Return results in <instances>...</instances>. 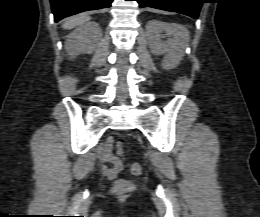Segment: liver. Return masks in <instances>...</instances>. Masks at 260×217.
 Returning a JSON list of instances; mask_svg holds the SVG:
<instances>
[{
	"label": "liver",
	"instance_id": "obj_1",
	"mask_svg": "<svg viewBox=\"0 0 260 217\" xmlns=\"http://www.w3.org/2000/svg\"><path fill=\"white\" fill-rule=\"evenodd\" d=\"M89 19H90V17L87 15L73 16V17L66 19L65 22L63 23L62 27L64 29H72L78 25H81V24L87 22Z\"/></svg>",
	"mask_w": 260,
	"mask_h": 217
}]
</instances>
